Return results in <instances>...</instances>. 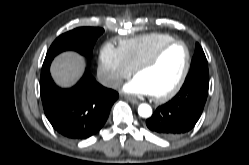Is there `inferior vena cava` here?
<instances>
[{"instance_id":"inferior-vena-cava-1","label":"inferior vena cava","mask_w":249,"mask_h":165,"mask_svg":"<svg viewBox=\"0 0 249 165\" xmlns=\"http://www.w3.org/2000/svg\"><path fill=\"white\" fill-rule=\"evenodd\" d=\"M102 84L109 88H118L121 86L122 81L115 78H106L103 80Z\"/></svg>"}]
</instances>
